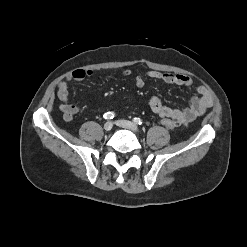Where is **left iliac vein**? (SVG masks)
<instances>
[{
  "label": "left iliac vein",
  "instance_id": "left-iliac-vein-1",
  "mask_svg": "<svg viewBox=\"0 0 247 247\" xmlns=\"http://www.w3.org/2000/svg\"><path fill=\"white\" fill-rule=\"evenodd\" d=\"M116 125L119 126V127L128 129V130H131L133 132H138L137 125L132 123V122H130V121H127V120H117L116 121Z\"/></svg>",
  "mask_w": 247,
  "mask_h": 247
}]
</instances>
